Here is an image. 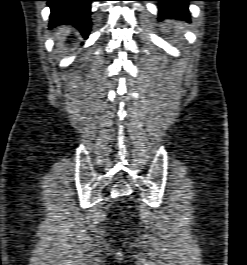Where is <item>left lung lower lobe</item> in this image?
<instances>
[{
	"label": "left lung lower lobe",
	"instance_id": "1",
	"mask_svg": "<svg viewBox=\"0 0 247 265\" xmlns=\"http://www.w3.org/2000/svg\"><path fill=\"white\" fill-rule=\"evenodd\" d=\"M159 1L160 18L189 19L188 2L198 0H152Z\"/></svg>",
	"mask_w": 247,
	"mask_h": 265
}]
</instances>
